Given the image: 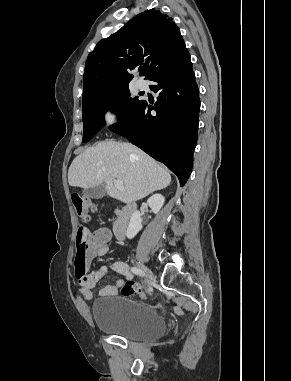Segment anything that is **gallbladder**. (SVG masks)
Segmentation results:
<instances>
[{"label":"gallbladder","mask_w":291,"mask_h":381,"mask_svg":"<svg viewBox=\"0 0 291 381\" xmlns=\"http://www.w3.org/2000/svg\"><path fill=\"white\" fill-rule=\"evenodd\" d=\"M83 193L84 195L90 198H94V199L102 198L105 195V185L100 184L95 187L86 188L83 190Z\"/></svg>","instance_id":"gallbladder-1"}]
</instances>
